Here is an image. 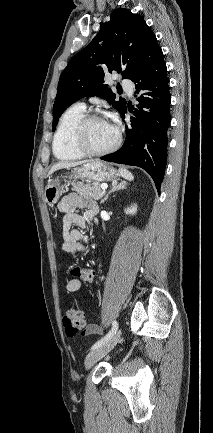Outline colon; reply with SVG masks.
Returning <instances> with one entry per match:
<instances>
[{
  "mask_svg": "<svg viewBox=\"0 0 213 433\" xmlns=\"http://www.w3.org/2000/svg\"><path fill=\"white\" fill-rule=\"evenodd\" d=\"M63 325L68 336L82 333L85 328V316L77 307L69 308L63 316Z\"/></svg>",
  "mask_w": 213,
  "mask_h": 433,
  "instance_id": "1",
  "label": "colon"
}]
</instances>
